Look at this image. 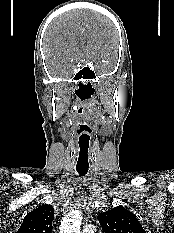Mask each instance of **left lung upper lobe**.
Returning <instances> with one entry per match:
<instances>
[{
  "instance_id": "5c2ea615",
  "label": "left lung upper lobe",
  "mask_w": 174,
  "mask_h": 233,
  "mask_svg": "<svg viewBox=\"0 0 174 233\" xmlns=\"http://www.w3.org/2000/svg\"><path fill=\"white\" fill-rule=\"evenodd\" d=\"M104 233H146L136 216L122 206L98 215Z\"/></svg>"
}]
</instances>
